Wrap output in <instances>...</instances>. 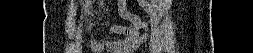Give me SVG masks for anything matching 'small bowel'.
<instances>
[{
	"mask_svg": "<svg viewBox=\"0 0 253 53\" xmlns=\"http://www.w3.org/2000/svg\"><path fill=\"white\" fill-rule=\"evenodd\" d=\"M142 2H146L145 0ZM122 7H120V13L121 15L128 21H130L132 23L131 27L128 28H124L118 25H113L109 28V31L111 33H123L125 35H127L125 41L120 45L122 47H124L127 52L129 53H133L136 49L139 48V46L146 40L147 35H139L138 30L139 29H150V25L143 22L139 17L129 13L125 7H123V5H121ZM92 27V23L89 22L86 26H85V31H89ZM112 46H115L114 43L110 42V41H102V42H95V41H91L90 42V47L94 50V51H101L104 50L106 48H110Z\"/></svg>",
	"mask_w": 253,
	"mask_h": 53,
	"instance_id": "1",
	"label": "small bowel"
}]
</instances>
